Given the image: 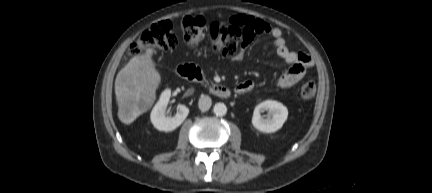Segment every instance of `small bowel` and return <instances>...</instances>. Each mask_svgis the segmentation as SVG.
Returning <instances> with one entry per match:
<instances>
[{
	"label": "small bowel",
	"instance_id": "c3829d8e",
	"mask_svg": "<svg viewBox=\"0 0 432 193\" xmlns=\"http://www.w3.org/2000/svg\"><path fill=\"white\" fill-rule=\"evenodd\" d=\"M230 23L240 25L244 29L248 30L252 37L260 34H266L272 37L273 46L277 55L290 66L289 69L277 80L276 85L279 88L287 89L293 87L304 77L306 71L313 67L314 62L309 54L305 52H296L288 47L280 28L274 27L261 19L248 15L235 16L231 18ZM244 55L245 48L243 47L233 58V61H241ZM253 87V82L246 80L240 82L235 87V92L237 94H245L250 92Z\"/></svg>",
	"mask_w": 432,
	"mask_h": 193
}]
</instances>
